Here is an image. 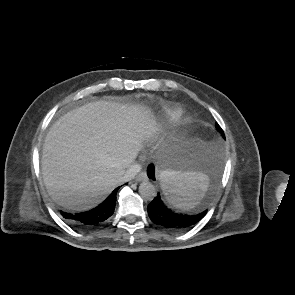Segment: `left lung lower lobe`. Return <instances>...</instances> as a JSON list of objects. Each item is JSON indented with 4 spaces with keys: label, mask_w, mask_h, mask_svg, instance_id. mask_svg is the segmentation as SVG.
Returning a JSON list of instances; mask_svg holds the SVG:
<instances>
[{
    "label": "left lung lower lobe",
    "mask_w": 295,
    "mask_h": 295,
    "mask_svg": "<svg viewBox=\"0 0 295 295\" xmlns=\"http://www.w3.org/2000/svg\"><path fill=\"white\" fill-rule=\"evenodd\" d=\"M207 165L212 167L213 159L210 153H206ZM147 173L149 177L154 179V167L151 166L148 168ZM148 215L153 223L168 229L170 231H184L191 228L196 224L200 219H202L207 210L203 211L200 214L188 216L181 215L172 212L169 210L164 203L162 202L160 195L153 199V201L147 207Z\"/></svg>",
    "instance_id": "0a47b994"
}]
</instances>
